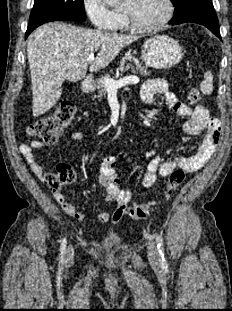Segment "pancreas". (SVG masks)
I'll return each instance as SVG.
<instances>
[{
	"label": "pancreas",
	"instance_id": "obj_1",
	"mask_svg": "<svg viewBox=\"0 0 232 311\" xmlns=\"http://www.w3.org/2000/svg\"><path fill=\"white\" fill-rule=\"evenodd\" d=\"M128 69H131V72L134 73V74L135 73H139L141 75H146V76L150 75V71L147 69V67L141 66L140 63H137L136 66H132V65L128 64V65H126L125 70L127 71ZM115 77H116V75L113 76L112 78H115ZM106 78H111V77L110 76H106L105 78L99 79L97 81L96 86L94 87L95 89L98 90L97 97L100 98V99L102 97L106 96L107 90H106V88L103 85V81Z\"/></svg>",
	"mask_w": 232,
	"mask_h": 311
}]
</instances>
